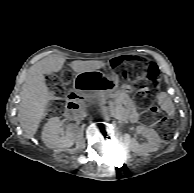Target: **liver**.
Listing matches in <instances>:
<instances>
[{
  "label": "liver",
  "mask_w": 194,
  "mask_h": 193,
  "mask_svg": "<svg viewBox=\"0 0 194 193\" xmlns=\"http://www.w3.org/2000/svg\"><path fill=\"white\" fill-rule=\"evenodd\" d=\"M64 63V57L52 55L38 61L29 68L22 87V100L18 112V120L25 132L26 138H31L36 134L51 100L44 74L60 71ZM70 66L74 72L80 73L100 69L105 66V63L97 60H75L71 62Z\"/></svg>",
  "instance_id": "6515ba94"
}]
</instances>
